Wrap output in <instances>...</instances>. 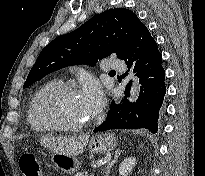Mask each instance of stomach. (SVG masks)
I'll use <instances>...</instances> for the list:
<instances>
[{
  "mask_svg": "<svg viewBox=\"0 0 205 176\" xmlns=\"http://www.w3.org/2000/svg\"><path fill=\"white\" fill-rule=\"evenodd\" d=\"M116 143V138L112 134H98L92 137L89 143V149L92 153L104 154L110 152L116 146ZM51 162L58 169L67 174L75 173L80 165L75 156H69L63 153H53Z\"/></svg>",
  "mask_w": 205,
  "mask_h": 176,
  "instance_id": "1",
  "label": "stomach"
}]
</instances>
